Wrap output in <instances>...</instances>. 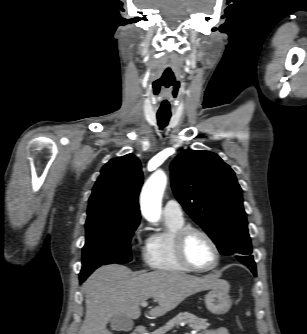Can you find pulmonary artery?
<instances>
[{
  "mask_svg": "<svg viewBox=\"0 0 307 334\" xmlns=\"http://www.w3.org/2000/svg\"><path fill=\"white\" fill-rule=\"evenodd\" d=\"M163 215L174 221H183V210L180 203L174 199L168 200L163 207Z\"/></svg>",
  "mask_w": 307,
  "mask_h": 334,
  "instance_id": "e3ab8cb5",
  "label": "pulmonary artery"
}]
</instances>
